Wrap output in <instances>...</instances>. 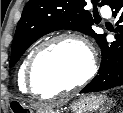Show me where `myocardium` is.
Returning a JSON list of instances; mask_svg holds the SVG:
<instances>
[{
	"mask_svg": "<svg viewBox=\"0 0 123 113\" xmlns=\"http://www.w3.org/2000/svg\"><path fill=\"white\" fill-rule=\"evenodd\" d=\"M61 41H74L78 43L85 50L87 54L89 66L86 73L72 85L66 86V87H58V88L50 90L48 93L45 94L40 92L36 87L35 80H34V66L38 57L46 49H48L53 44L61 42ZM96 70H97L96 57L88 40L82 35L77 33H63L42 42L33 50L26 64L25 81H26L27 88L32 93H35L41 96L42 98H46V97L49 98L60 93H69L77 89L78 87L84 85L95 75Z\"/></svg>",
	"mask_w": 123,
	"mask_h": 113,
	"instance_id": "myocardium-1",
	"label": "myocardium"
}]
</instances>
